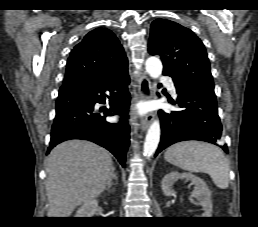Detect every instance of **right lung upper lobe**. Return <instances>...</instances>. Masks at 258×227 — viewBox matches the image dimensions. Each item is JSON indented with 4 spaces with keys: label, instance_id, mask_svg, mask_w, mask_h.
<instances>
[{
    "label": "right lung upper lobe",
    "instance_id": "obj_1",
    "mask_svg": "<svg viewBox=\"0 0 258 227\" xmlns=\"http://www.w3.org/2000/svg\"><path fill=\"white\" fill-rule=\"evenodd\" d=\"M122 45L106 28L89 32L71 51L63 85L87 78L105 79L127 69Z\"/></svg>",
    "mask_w": 258,
    "mask_h": 227
}]
</instances>
